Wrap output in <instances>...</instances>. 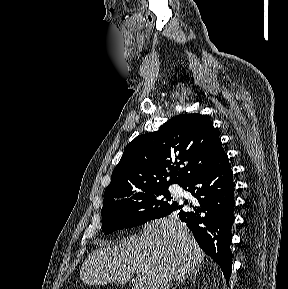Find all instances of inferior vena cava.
I'll use <instances>...</instances> for the list:
<instances>
[{
  "instance_id": "obj_1",
  "label": "inferior vena cava",
  "mask_w": 288,
  "mask_h": 289,
  "mask_svg": "<svg viewBox=\"0 0 288 289\" xmlns=\"http://www.w3.org/2000/svg\"><path fill=\"white\" fill-rule=\"evenodd\" d=\"M166 289H169V283L166 285Z\"/></svg>"
}]
</instances>
